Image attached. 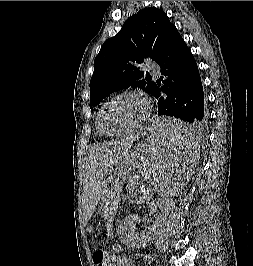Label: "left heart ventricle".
<instances>
[{
	"label": "left heart ventricle",
	"instance_id": "b2bd125f",
	"mask_svg": "<svg viewBox=\"0 0 253 266\" xmlns=\"http://www.w3.org/2000/svg\"><path fill=\"white\" fill-rule=\"evenodd\" d=\"M144 112V103L137 97L124 96L109 104L102 112L100 124L105 133L130 127Z\"/></svg>",
	"mask_w": 253,
	"mask_h": 266
}]
</instances>
